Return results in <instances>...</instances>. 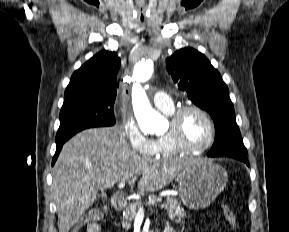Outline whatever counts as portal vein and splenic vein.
<instances>
[{
    "instance_id": "18ae733b",
    "label": "portal vein and splenic vein",
    "mask_w": 289,
    "mask_h": 232,
    "mask_svg": "<svg viewBox=\"0 0 289 232\" xmlns=\"http://www.w3.org/2000/svg\"><path fill=\"white\" fill-rule=\"evenodd\" d=\"M124 186H125V182H120V183L118 184V188H123ZM156 202H161V199L151 200V201L149 202V204H154V203H156ZM139 213H144V208H143L142 206H140V208H139Z\"/></svg>"
}]
</instances>
